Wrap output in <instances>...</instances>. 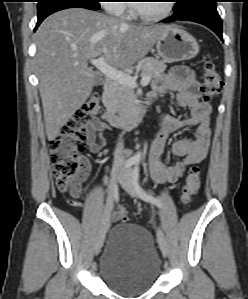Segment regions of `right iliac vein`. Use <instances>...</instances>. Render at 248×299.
Returning <instances> with one entry per match:
<instances>
[{
  "label": "right iliac vein",
  "mask_w": 248,
  "mask_h": 299,
  "mask_svg": "<svg viewBox=\"0 0 248 299\" xmlns=\"http://www.w3.org/2000/svg\"><path fill=\"white\" fill-rule=\"evenodd\" d=\"M119 171H120V166H118V165H115L112 169L111 186H110V190H109V193L107 196V201H106V206L104 209L102 222H101L100 228L98 230L96 240H95V245H94V252L96 255L99 254V252L103 246L105 235L109 228V219H110V214H111L113 201H114V197H115V183H116Z\"/></svg>",
  "instance_id": "63e3f726"
}]
</instances>
